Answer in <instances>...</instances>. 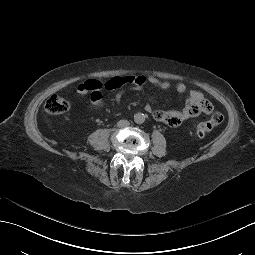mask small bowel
Wrapping results in <instances>:
<instances>
[{"mask_svg": "<svg viewBox=\"0 0 255 255\" xmlns=\"http://www.w3.org/2000/svg\"><path fill=\"white\" fill-rule=\"evenodd\" d=\"M146 84L158 87L162 90H167L171 87L169 81L160 80L154 76L145 77L137 76H116L110 78L105 83L95 79H89L80 83L76 91L80 95H89L90 101L95 106L103 104L102 89L119 90L116 94V101L119 103L122 100L123 92L121 89L125 86H131L134 90L142 89ZM175 90L179 94L187 92V87L184 83H177ZM145 111L150 113L152 117L161 123L170 127H178L183 122L190 118L199 116L200 114H210L213 111L212 103L197 90H189L185 100V105L181 111H162L154 110L149 104L145 105Z\"/></svg>", "mask_w": 255, "mask_h": 255, "instance_id": "small-bowel-1", "label": "small bowel"}]
</instances>
